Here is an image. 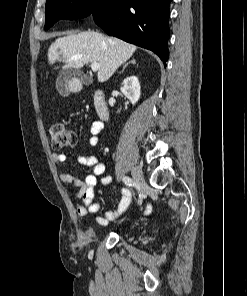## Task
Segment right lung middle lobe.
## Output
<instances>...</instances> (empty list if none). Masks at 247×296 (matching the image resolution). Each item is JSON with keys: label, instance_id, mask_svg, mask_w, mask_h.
<instances>
[{"label": "right lung middle lobe", "instance_id": "right-lung-middle-lobe-1", "mask_svg": "<svg viewBox=\"0 0 247 296\" xmlns=\"http://www.w3.org/2000/svg\"><path fill=\"white\" fill-rule=\"evenodd\" d=\"M111 0H47L45 29L60 19H79L104 12Z\"/></svg>", "mask_w": 247, "mask_h": 296}]
</instances>
